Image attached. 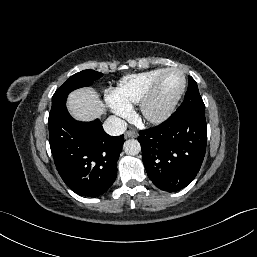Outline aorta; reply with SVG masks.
<instances>
[{"instance_id":"obj_1","label":"aorta","mask_w":257,"mask_h":257,"mask_svg":"<svg viewBox=\"0 0 257 257\" xmlns=\"http://www.w3.org/2000/svg\"><path fill=\"white\" fill-rule=\"evenodd\" d=\"M123 149L126 154L134 156L139 154L141 151V146L138 140L129 139L124 143Z\"/></svg>"}]
</instances>
